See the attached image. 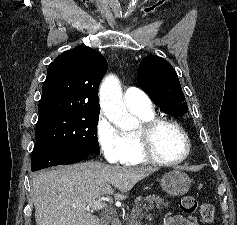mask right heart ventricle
<instances>
[{
	"label": "right heart ventricle",
	"instance_id": "right-heart-ventricle-1",
	"mask_svg": "<svg viewBox=\"0 0 237 225\" xmlns=\"http://www.w3.org/2000/svg\"><path fill=\"white\" fill-rule=\"evenodd\" d=\"M142 122L151 120L154 118V112L151 109L148 112H140L137 110H131ZM125 138L130 146V152L126 160L123 162L126 165H137L145 162V159L141 156L137 141L135 138V133L125 134Z\"/></svg>",
	"mask_w": 237,
	"mask_h": 225
}]
</instances>
